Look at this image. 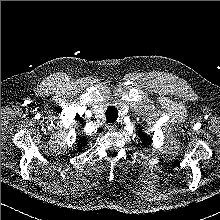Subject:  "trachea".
<instances>
[{"label": "trachea", "instance_id": "obj_1", "mask_svg": "<svg viewBox=\"0 0 220 220\" xmlns=\"http://www.w3.org/2000/svg\"><path fill=\"white\" fill-rule=\"evenodd\" d=\"M118 117V111L115 107L111 106L106 110V119L108 122H115Z\"/></svg>", "mask_w": 220, "mask_h": 220}]
</instances>
